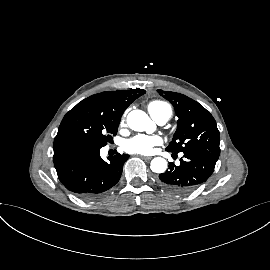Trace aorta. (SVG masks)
Wrapping results in <instances>:
<instances>
[{"label":"aorta","instance_id":"1","mask_svg":"<svg viewBox=\"0 0 270 270\" xmlns=\"http://www.w3.org/2000/svg\"><path fill=\"white\" fill-rule=\"evenodd\" d=\"M127 124L134 131L153 132L154 122L142 110H133L127 115ZM150 168L155 173H163L167 169V161L162 157H155L151 161Z\"/></svg>","mask_w":270,"mask_h":270}]
</instances>
